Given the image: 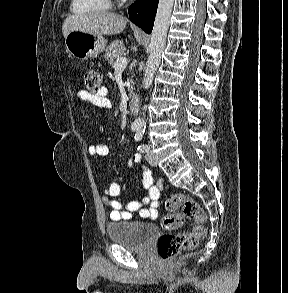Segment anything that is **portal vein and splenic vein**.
Returning a JSON list of instances; mask_svg holds the SVG:
<instances>
[{"label": "portal vein and splenic vein", "mask_w": 288, "mask_h": 293, "mask_svg": "<svg viewBox=\"0 0 288 293\" xmlns=\"http://www.w3.org/2000/svg\"><path fill=\"white\" fill-rule=\"evenodd\" d=\"M128 59L125 56L119 57L115 63L114 68L115 69H124L127 66Z\"/></svg>", "instance_id": "portal-vein-and-splenic-vein-1"}]
</instances>
